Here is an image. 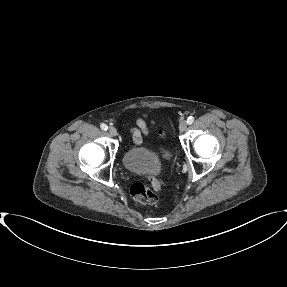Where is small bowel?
Instances as JSON below:
<instances>
[{"mask_svg": "<svg viewBox=\"0 0 287 287\" xmlns=\"http://www.w3.org/2000/svg\"><path fill=\"white\" fill-rule=\"evenodd\" d=\"M145 135H147L145 123L142 120H138L136 123V128H134L132 132L133 142L135 144H141Z\"/></svg>", "mask_w": 287, "mask_h": 287, "instance_id": "small-bowel-1", "label": "small bowel"}]
</instances>
